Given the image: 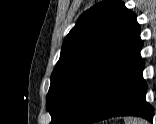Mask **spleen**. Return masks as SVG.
<instances>
[{"label":"spleen","instance_id":"1","mask_svg":"<svg viewBox=\"0 0 156 124\" xmlns=\"http://www.w3.org/2000/svg\"><path fill=\"white\" fill-rule=\"evenodd\" d=\"M125 121L126 124H148L146 120L139 118H128Z\"/></svg>","mask_w":156,"mask_h":124}]
</instances>
